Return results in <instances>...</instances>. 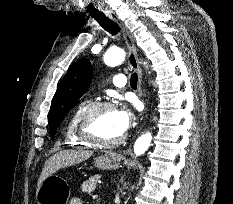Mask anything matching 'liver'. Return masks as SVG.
I'll return each mask as SVG.
<instances>
[{
  "label": "liver",
  "instance_id": "1",
  "mask_svg": "<svg viewBox=\"0 0 233 204\" xmlns=\"http://www.w3.org/2000/svg\"><path fill=\"white\" fill-rule=\"evenodd\" d=\"M93 155L92 151L73 149L63 150L51 156L44 165L37 184V191L42 182L58 170L79 164ZM36 191V192H37Z\"/></svg>",
  "mask_w": 233,
  "mask_h": 204
}]
</instances>
